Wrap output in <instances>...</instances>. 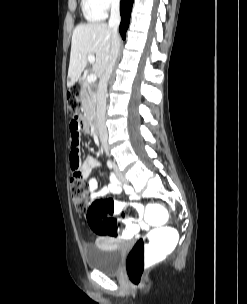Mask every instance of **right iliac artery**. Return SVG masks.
I'll return each mask as SVG.
<instances>
[{"instance_id": "1", "label": "right iliac artery", "mask_w": 247, "mask_h": 304, "mask_svg": "<svg viewBox=\"0 0 247 304\" xmlns=\"http://www.w3.org/2000/svg\"><path fill=\"white\" fill-rule=\"evenodd\" d=\"M107 166H108L109 169H112L114 167L113 163L110 160L107 161ZM112 176H114V174H112Z\"/></svg>"}]
</instances>
